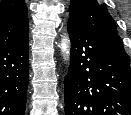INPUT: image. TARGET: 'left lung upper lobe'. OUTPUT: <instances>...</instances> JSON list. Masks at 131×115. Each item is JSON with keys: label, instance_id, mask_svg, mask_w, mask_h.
<instances>
[{"label": "left lung upper lobe", "instance_id": "1", "mask_svg": "<svg viewBox=\"0 0 131 115\" xmlns=\"http://www.w3.org/2000/svg\"><path fill=\"white\" fill-rule=\"evenodd\" d=\"M68 21L92 33L114 54L129 62L115 22L105 5L99 4L97 0H71Z\"/></svg>", "mask_w": 131, "mask_h": 115}]
</instances>
